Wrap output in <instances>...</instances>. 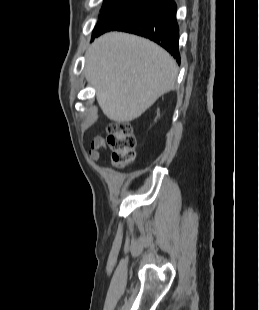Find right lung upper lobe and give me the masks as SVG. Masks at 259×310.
<instances>
[{"instance_id":"1","label":"right lung upper lobe","mask_w":259,"mask_h":310,"mask_svg":"<svg viewBox=\"0 0 259 310\" xmlns=\"http://www.w3.org/2000/svg\"><path fill=\"white\" fill-rule=\"evenodd\" d=\"M107 1H111V0H105L104 2H107ZM158 1H160V0H158Z\"/></svg>"}]
</instances>
